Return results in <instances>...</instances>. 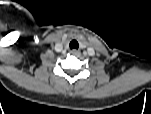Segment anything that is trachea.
<instances>
[{"label": "trachea", "mask_w": 151, "mask_h": 114, "mask_svg": "<svg viewBox=\"0 0 151 114\" xmlns=\"http://www.w3.org/2000/svg\"><path fill=\"white\" fill-rule=\"evenodd\" d=\"M69 47L70 49H78L79 48V43L76 40H72L69 43Z\"/></svg>", "instance_id": "1"}]
</instances>
